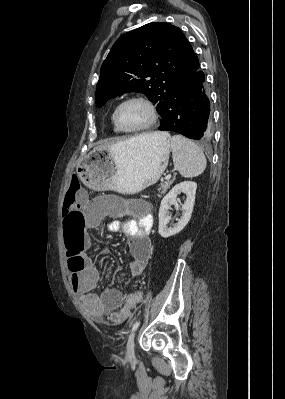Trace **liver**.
<instances>
[{"instance_id":"6515ba94","label":"liver","mask_w":285,"mask_h":399,"mask_svg":"<svg viewBox=\"0 0 285 399\" xmlns=\"http://www.w3.org/2000/svg\"><path fill=\"white\" fill-rule=\"evenodd\" d=\"M156 136H158L157 132H155V133H144L142 135H139V136H136V137H133V138L142 137V138H147V139H153ZM130 139H132V138H130ZM130 139H128V140H130ZM125 141H127V140H125ZM118 143H120V142H116V141L102 142L96 147V149H107V148H110L112 146L117 145Z\"/></svg>"}]
</instances>
